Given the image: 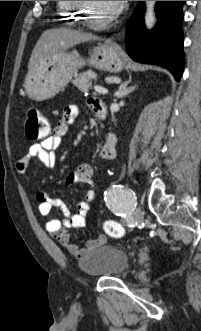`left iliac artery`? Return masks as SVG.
Returning a JSON list of instances; mask_svg holds the SVG:
<instances>
[{
    "mask_svg": "<svg viewBox=\"0 0 201 331\" xmlns=\"http://www.w3.org/2000/svg\"><path fill=\"white\" fill-rule=\"evenodd\" d=\"M104 195L107 207L117 216L128 220L136 207L135 193L123 185H113Z\"/></svg>",
    "mask_w": 201,
    "mask_h": 331,
    "instance_id": "left-iliac-artery-1",
    "label": "left iliac artery"
}]
</instances>
